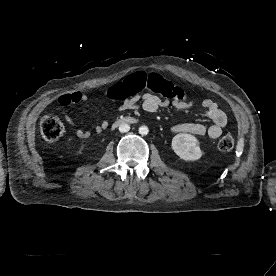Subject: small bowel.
Instances as JSON below:
<instances>
[{"instance_id":"c3829d8e","label":"small bowel","mask_w":276,"mask_h":276,"mask_svg":"<svg viewBox=\"0 0 276 276\" xmlns=\"http://www.w3.org/2000/svg\"><path fill=\"white\" fill-rule=\"evenodd\" d=\"M89 97L87 94L81 91H74L71 93H64L59 97L60 105L67 107L73 104L86 103ZM176 108L183 109L188 107L187 103H176L172 102ZM169 105V101L161 100L159 97L153 94H138L134 97L124 99L118 106L119 111L134 109L141 107L149 113H155L160 108ZM202 108L205 115L211 120L212 124L210 126H205L198 123H182L175 125L172 128L173 132L179 133H190L198 136H209L212 139H217L223 132V129L228 123L227 116L223 110H221L218 105L211 99H205L202 102ZM64 118L66 122L72 126L76 127L75 120L69 114H65ZM106 127L103 122L95 127L96 132H101ZM76 135L79 138H88L91 132L87 129L77 128Z\"/></svg>"}]
</instances>
